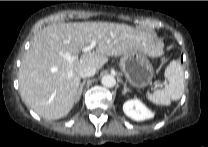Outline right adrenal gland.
<instances>
[{"mask_svg": "<svg viewBox=\"0 0 208 147\" xmlns=\"http://www.w3.org/2000/svg\"><path fill=\"white\" fill-rule=\"evenodd\" d=\"M85 83H86V79H84L81 82L80 86H79V89H78V92H77V96H76V102H78L80 100V98H81V94H82L83 87H84Z\"/></svg>", "mask_w": 208, "mask_h": 147, "instance_id": "right-adrenal-gland-1", "label": "right adrenal gland"}]
</instances>
